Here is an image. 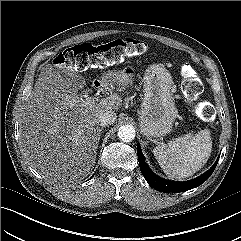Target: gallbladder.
I'll list each match as a JSON object with an SVG mask.
<instances>
[{
  "instance_id": "gallbladder-1",
  "label": "gallbladder",
  "mask_w": 241,
  "mask_h": 241,
  "mask_svg": "<svg viewBox=\"0 0 241 241\" xmlns=\"http://www.w3.org/2000/svg\"><path fill=\"white\" fill-rule=\"evenodd\" d=\"M74 76H76V78L73 80L77 83L79 88H81L85 84L84 78L77 73H74Z\"/></svg>"
}]
</instances>
